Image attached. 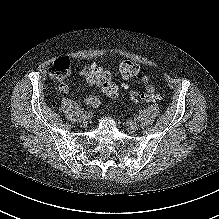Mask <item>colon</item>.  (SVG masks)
Instances as JSON below:
<instances>
[{"instance_id": "5ec220e1", "label": "colon", "mask_w": 219, "mask_h": 219, "mask_svg": "<svg viewBox=\"0 0 219 219\" xmlns=\"http://www.w3.org/2000/svg\"><path fill=\"white\" fill-rule=\"evenodd\" d=\"M92 71L96 74V83L102 89L103 94L108 98H116L120 94L118 85L112 82L111 75L100 68H93ZM50 75L58 81L65 79L71 72V62L67 57L56 59L50 67ZM139 72V67L131 61H123L120 64V73L123 78H134ZM131 99L136 103H148L161 99V95L154 90L139 94L130 92Z\"/></svg>"}]
</instances>
